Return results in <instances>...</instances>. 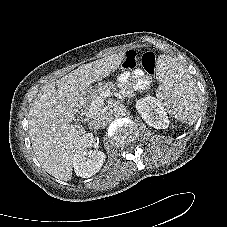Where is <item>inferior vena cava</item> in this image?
Segmentation results:
<instances>
[{"label":"inferior vena cava","mask_w":227,"mask_h":227,"mask_svg":"<svg viewBox=\"0 0 227 227\" xmlns=\"http://www.w3.org/2000/svg\"><path fill=\"white\" fill-rule=\"evenodd\" d=\"M106 115L103 111L94 113L89 120V126L93 129H99L105 125Z\"/></svg>","instance_id":"obj_1"}]
</instances>
